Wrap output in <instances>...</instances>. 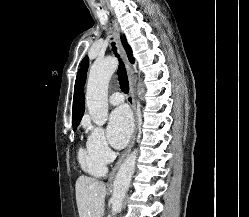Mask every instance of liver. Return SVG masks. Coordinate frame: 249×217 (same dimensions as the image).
<instances>
[{"label": "liver", "mask_w": 249, "mask_h": 217, "mask_svg": "<svg viewBox=\"0 0 249 217\" xmlns=\"http://www.w3.org/2000/svg\"><path fill=\"white\" fill-rule=\"evenodd\" d=\"M79 217H102L106 196L103 182L88 176H80L75 185Z\"/></svg>", "instance_id": "6515ba94"}]
</instances>
